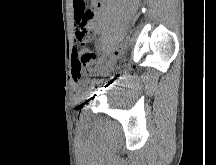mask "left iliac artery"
Here are the masks:
<instances>
[{
	"mask_svg": "<svg viewBox=\"0 0 216 165\" xmlns=\"http://www.w3.org/2000/svg\"><path fill=\"white\" fill-rule=\"evenodd\" d=\"M104 65H105V57L103 56L102 58H100L99 64H98V70L99 72H104Z\"/></svg>",
	"mask_w": 216,
	"mask_h": 165,
	"instance_id": "1",
	"label": "left iliac artery"
}]
</instances>
